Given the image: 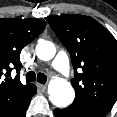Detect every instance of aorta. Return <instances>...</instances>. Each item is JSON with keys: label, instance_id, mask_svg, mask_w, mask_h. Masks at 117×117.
Wrapping results in <instances>:
<instances>
[{"label": "aorta", "instance_id": "1", "mask_svg": "<svg viewBox=\"0 0 117 117\" xmlns=\"http://www.w3.org/2000/svg\"><path fill=\"white\" fill-rule=\"evenodd\" d=\"M56 53L54 44L50 41H41L36 46V55L43 61L51 60ZM49 99L53 105L59 108L69 106L75 97V92L70 82L57 77L48 85Z\"/></svg>", "mask_w": 117, "mask_h": 117}]
</instances>
